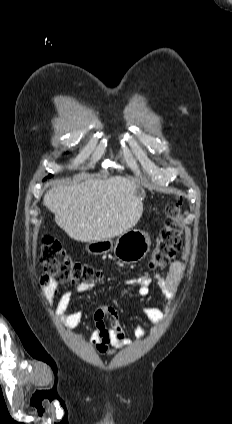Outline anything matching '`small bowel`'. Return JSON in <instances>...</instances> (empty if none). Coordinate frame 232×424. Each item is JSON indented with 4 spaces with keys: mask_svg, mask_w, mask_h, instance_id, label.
Wrapping results in <instances>:
<instances>
[{
    "mask_svg": "<svg viewBox=\"0 0 232 424\" xmlns=\"http://www.w3.org/2000/svg\"><path fill=\"white\" fill-rule=\"evenodd\" d=\"M189 255L190 249L186 244H184L182 246L181 259L174 261L170 265L167 274L156 273L153 276L142 275L128 280L130 285L137 286V291L140 296H149L151 294V286L155 285L163 297L167 300V306L165 309L148 304L142 306V312L150 322L160 324L167 318L179 285L184 277ZM94 288L95 284L90 282L80 283L76 286V290L79 293L91 292ZM58 290L59 285L53 284L49 288V294L54 295L58 292ZM70 303L71 292H61L58 297L55 312L61 324L66 327H74L78 325L83 318V312L80 310L68 312ZM106 317L109 318L108 323L105 321ZM93 320L94 328L91 331L90 342L95 346L98 353L111 355L113 352L128 344L125 331L120 325L119 313L115 308L110 306L98 308L94 312ZM134 335L137 339H141L144 336L143 328L141 326H137L134 330Z\"/></svg>",
    "mask_w": 232,
    "mask_h": 424,
    "instance_id": "small-bowel-1",
    "label": "small bowel"
}]
</instances>
